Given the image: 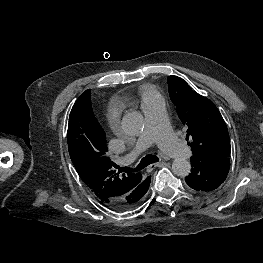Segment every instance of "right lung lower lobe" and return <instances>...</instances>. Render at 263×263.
I'll list each match as a JSON object with an SVG mask.
<instances>
[{"mask_svg": "<svg viewBox=\"0 0 263 263\" xmlns=\"http://www.w3.org/2000/svg\"><path fill=\"white\" fill-rule=\"evenodd\" d=\"M150 180H151V178L150 177H147V181H146V183H145V191L146 190H148V188H149V185H150ZM147 192V191H146ZM146 192H145V194H146ZM144 194V195H145ZM111 209H114V210H117V211H121V209H122V206L121 205H119V204H117V203H114V204H112L111 206H109Z\"/></svg>", "mask_w": 263, "mask_h": 263, "instance_id": "obj_1", "label": "right lung lower lobe"}]
</instances>
